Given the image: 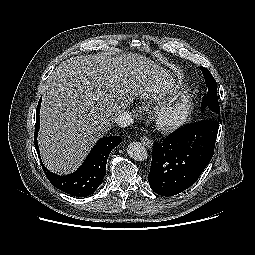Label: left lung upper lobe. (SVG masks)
<instances>
[{
	"instance_id": "left-lung-upper-lobe-1",
	"label": "left lung upper lobe",
	"mask_w": 255,
	"mask_h": 255,
	"mask_svg": "<svg viewBox=\"0 0 255 255\" xmlns=\"http://www.w3.org/2000/svg\"><path fill=\"white\" fill-rule=\"evenodd\" d=\"M204 75L206 86L208 87L207 94L203 97L201 103V111L203 112L206 108H209L212 112L219 114L220 107L217 97V85L214 77L208 69L200 67Z\"/></svg>"
}]
</instances>
